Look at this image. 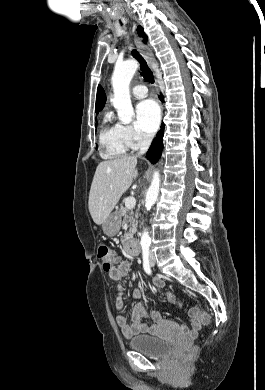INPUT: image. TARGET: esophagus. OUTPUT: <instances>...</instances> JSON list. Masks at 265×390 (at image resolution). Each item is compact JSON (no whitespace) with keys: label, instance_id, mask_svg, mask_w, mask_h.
<instances>
[{"label":"esophagus","instance_id":"obj_1","mask_svg":"<svg viewBox=\"0 0 265 390\" xmlns=\"http://www.w3.org/2000/svg\"><path fill=\"white\" fill-rule=\"evenodd\" d=\"M134 42L136 44L137 49L142 54V56L146 59L147 63L150 65L153 62V55L151 50L143 44L141 39L135 35Z\"/></svg>","mask_w":265,"mask_h":390}]
</instances>
